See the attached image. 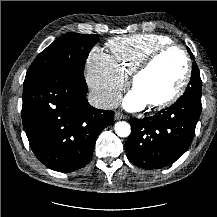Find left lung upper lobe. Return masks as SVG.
I'll list each match as a JSON object with an SVG mask.
<instances>
[{
    "label": "left lung upper lobe",
    "mask_w": 217,
    "mask_h": 217,
    "mask_svg": "<svg viewBox=\"0 0 217 217\" xmlns=\"http://www.w3.org/2000/svg\"><path fill=\"white\" fill-rule=\"evenodd\" d=\"M187 49H188V52L190 53L191 59L194 60L195 58L193 54L191 53L190 49L189 48ZM201 85H202V81L200 79L199 68L196 65V62L194 61L192 65V76H191L190 82L184 94L201 96V89H202Z\"/></svg>",
    "instance_id": "obj_1"
}]
</instances>
